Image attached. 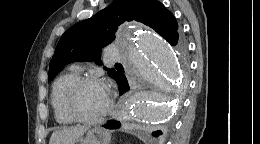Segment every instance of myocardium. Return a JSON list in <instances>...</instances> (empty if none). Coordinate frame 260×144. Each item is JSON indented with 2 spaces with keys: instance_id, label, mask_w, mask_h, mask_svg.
<instances>
[{
  "instance_id": "obj_1",
  "label": "myocardium",
  "mask_w": 260,
  "mask_h": 144,
  "mask_svg": "<svg viewBox=\"0 0 260 144\" xmlns=\"http://www.w3.org/2000/svg\"><path fill=\"white\" fill-rule=\"evenodd\" d=\"M89 83H97V84H101L104 86V83L97 77L84 76V77H80L76 82H74V84L71 86V88L69 89V91L66 95V98H65L66 112L76 122L88 123V124L99 122L107 114V112L109 111V109L112 105L111 98L109 96H107V103H106L105 107L97 115L92 116V117H85V116H82L81 114H79L78 111L76 110V106H75L76 98H77L81 88L84 85L89 84Z\"/></svg>"
}]
</instances>
